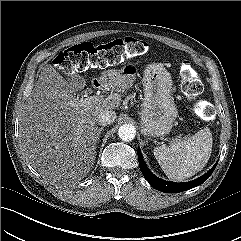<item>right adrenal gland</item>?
<instances>
[{"label": "right adrenal gland", "instance_id": "1", "mask_svg": "<svg viewBox=\"0 0 241 241\" xmlns=\"http://www.w3.org/2000/svg\"><path fill=\"white\" fill-rule=\"evenodd\" d=\"M103 130V127L99 128L98 129V133H97V141L100 140V134H101V131Z\"/></svg>", "mask_w": 241, "mask_h": 241}]
</instances>
